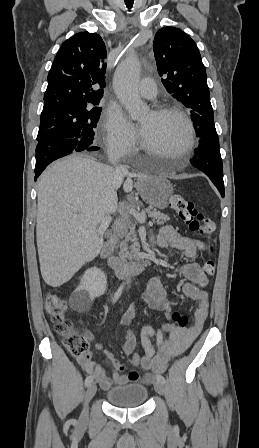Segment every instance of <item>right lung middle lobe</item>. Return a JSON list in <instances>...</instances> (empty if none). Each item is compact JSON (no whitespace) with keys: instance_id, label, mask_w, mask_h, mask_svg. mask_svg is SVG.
<instances>
[{"instance_id":"obj_1","label":"right lung middle lobe","mask_w":259,"mask_h":448,"mask_svg":"<svg viewBox=\"0 0 259 448\" xmlns=\"http://www.w3.org/2000/svg\"><path fill=\"white\" fill-rule=\"evenodd\" d=\"M101 110L97 106H89L70 112L41 114L37 141L75 138L82 150L94 146V128Z\"/></svg>"}]
</instances>
